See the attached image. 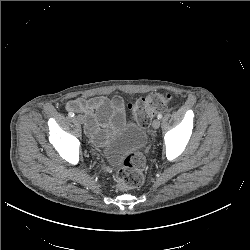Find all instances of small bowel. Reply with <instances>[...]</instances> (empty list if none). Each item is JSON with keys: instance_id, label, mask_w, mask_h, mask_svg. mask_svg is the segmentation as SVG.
Here are the masks:
<instances>
[{"instance_id": "small-bowel-1", "label": "small bowel", "mask_w": 250, "mask_h": 250, "mask_svg": "<svg viewBox=\"0 0 250 250\" xmlns=\"http://www.w3.org/2000/svg\"><path fill=\"white\" fill-rule=\"evenodd\" d=\"M123 101L120 97L113 99L104 96L79 97L69 101L66 109L70 112L80 113L84 117L86 134L96 143L103 139V129L108 125L114 110H121Z\"/></svg>"}]
</instances>
